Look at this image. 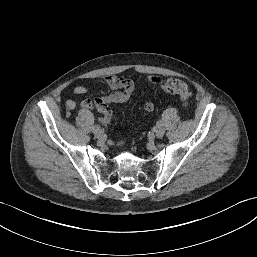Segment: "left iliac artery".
Returning a JSON list of instances; mask_svg holds the SVG:
<instances>
[{"label": "left iliac artery", "mask_w": 257, "mask_h": 257, "mask_svg": "<svg viewBox=\"0 0 257 257\" xmlns=\"http://www.w3.org/2000/svg\"><path fill=\"white\" fill-rule=\"evenodd\" d=\"M157 127L159 126H162V121L161 120H158L157 123H156Z\"/></svg>", "instance_id": "left-iliac-artery-1"}]
</instances>
